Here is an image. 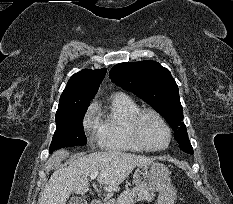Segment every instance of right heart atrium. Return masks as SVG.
Instances as JSON below:
<instances>
[{
	"instance_id": "obj_1",
	"label": "right heart atrium",
	"mask_w": 233,
	"mask_h": 204,
	"mask_svg": "<svg viewBox=\"0 0 233 204\" xmlns=\"http://www.w3.org/2000/svg\"><path fill=\"white\" fill-rule=\"evenodd\" d=\"M83 127L88 137L89 143L92 146L101 145L99 126L95 116V107L93 105L88 108L83 118Z\"/></svg>"
}]
</instances>
